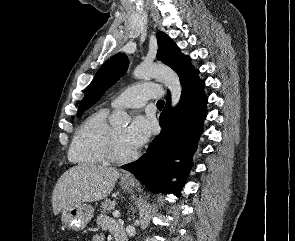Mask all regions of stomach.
Instances as JSON below:
<instances>
[{
  "mask_svg": "<svg viewBox=\"0 0 295 241\" xmlns=\"http://www.w3.org/2000/svg\"><path fill=\"white\" fill-rule=\"evenodd\" d=\"M120 185L124 190L132 192L134 183L132 181L122 180ZM93 213L94 209L92 206L85 203H74L62 209L61 219L68 228L80 231L86 227L93 217Z\"/></svg>",
  "mask_w": 295,
  "mask_h": 241,
  "instance_id": "stomach-1",
  "label": "stomach"
}]
</instances>
